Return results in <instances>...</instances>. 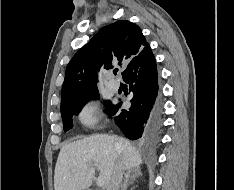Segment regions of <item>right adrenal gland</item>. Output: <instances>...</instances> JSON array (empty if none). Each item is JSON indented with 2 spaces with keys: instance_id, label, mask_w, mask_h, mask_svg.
<instances>
[{
  "instance_id": "obj_1",
  "label": "right adrenal gland",
  "mask_w": 234,
  "mask_h": 190,
  "mask_svg": "<svg viewBox=\"0 0 234 190\" xmlns=\"http://www.w3.org/2000/svg\"><path fill=\"white\" fill-rule=\"evenodd\" d=\"M141 176V173L139 170H128L125 174V179L123 184L121 185L120 190H126L129 185H132L136 178Z\"/></svg>"
}]
</instances>
